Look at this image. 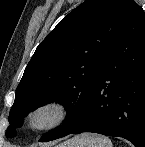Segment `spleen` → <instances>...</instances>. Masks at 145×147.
Masks as SVG:
<instances>
[{"label":"spleen","mask_w":145,"mask_h":147,"mask_svg":"<svg viewBox=\"0 0 145 147\" xmlns=\"http://www.w3.org/2000/svg\"><path fill=\"white\" fill-rule=\"evenodd\" d=\"M67 147H113L111 140L99 134L83 133L70 140Z\"/></svg>","instance_id":"3e777b00"}]
</instances>
